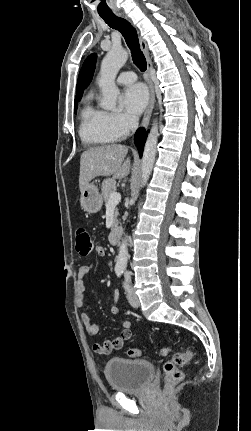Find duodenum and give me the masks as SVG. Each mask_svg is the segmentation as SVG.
<instances>
[{"mask_svg":"<svg viewBox=\"0 0 251 431\" xmlns=\"http://www.w3.org/2000/svg\"><path fill=\"white\" fill-rule=\"evenodd\" d=\"M121 235H122L121 226L119 225L114 226L109 236L110 243L113 245L118 244L120 241Z\"/></svg>","mask_w":251,"mask_h":431,"instance_id":"410a0bca","label":"duodenum"}]
</instances>
